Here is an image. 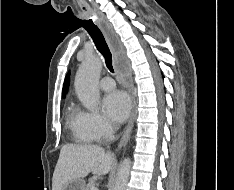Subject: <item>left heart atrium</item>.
Returning a JSON list of instances; mask_svg holds the SVG:
<instances>
[{"instance_id": "left-heart-atrium-1", "label": "left heart atrium", "mask_w": 234, "mask_h": 190, "mask_svg": "<svg viewBox=\"0 0 234 190\" xmlns=\"http://www.w3.org/2000/svg\"><path fill=\"white\" fill-rule=\"evenodd\" d=\"M103 107L106 116L111 121L121 123L129 114L131 108L130 98L123 91H113L104 97Z\"/></svg>"}]
</instances>
